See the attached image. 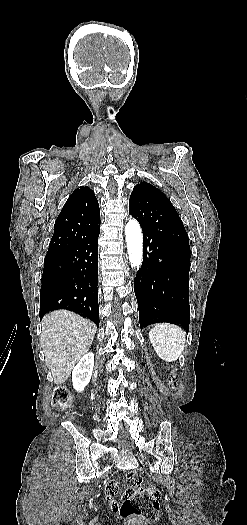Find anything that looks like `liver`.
Here are the masks:
<instances>
[{"instance_id": "6515ba94", "label": "liver", "mask_w": 247, "mask_h": 525, "mask_svg": "<svg viewBox=\"0 0 247 525\" xmlns=\"http://www.w3.org/2000/svg\"><path fill=\"white\" fill-rule=\"evenodd\" d=\"M40 345L50 377L62 385L83 355L89 351L97 327L71 311H52L41 321Z\"/></svg>"}]
</instances>
